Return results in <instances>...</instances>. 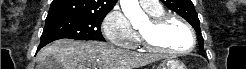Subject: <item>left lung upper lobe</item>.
Segmentation results:
<instances>
[{
    "label": "left lung upper lobe",
    "mask_w": 246,
    "mask_h": 69,
    "mask_svg": "<svg viewBox=\"0 0 246 69\" xmlns=\"http://www.w3.org/2000/svg\"><path fill=\"white\" fill-rule=\"evenodd\" d=\"M169 9L175 11L188 21L195 29L198 37L199 48L202 51L203 37L200 30V21L191 0H161Z\"/></svg>",
    "instance_id": "5c2ea615"
}]
</instances>
